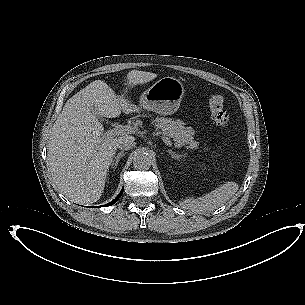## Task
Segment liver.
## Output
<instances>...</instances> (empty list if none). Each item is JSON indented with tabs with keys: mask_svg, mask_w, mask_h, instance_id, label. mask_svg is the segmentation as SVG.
Returning <instances> with one entry per match:
<instances>
[{
	"mask_svg": "<svg viewBox=\"0 0 305 305\" xmlns=\"http://www.w3.org/2000/svg\"><path fill=\"white\" fill-rule=\"evenodd\" d=\"M121 110L128 114L133 107L101 80L65 103L52 127L47 156L54 183L69 198L91 204L101 197L120 137L104 133L97 117L115 118Z\"/></svg>",
	"mask_w": 305,
	"mask_h": 305,
	"instance_id": "obj_1",
	"label": "liver"
}]
</instances>
